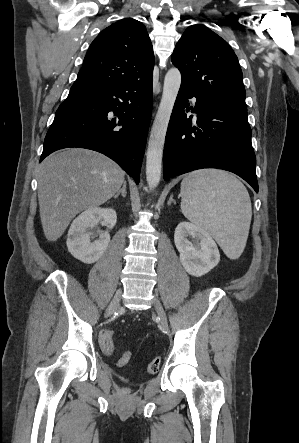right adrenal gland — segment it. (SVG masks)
Instances as JSON below:
<instances>
[{"instance_id": "1", "label": "right adrenal gland", "mask_w": 299, "mask_h": 443, "mask_svg": "<svg viewBox=\"0 0 299 443\" xmlns=\"http://www.w3.org/2000/svg\"><path fill=\"white\" fill-rule=\"evenodd\" d=\"M122 195L124 198L126 197V181L123 182V187L115 194L114 199H117L119 195Z\"/></svg>"}]
</instances>
